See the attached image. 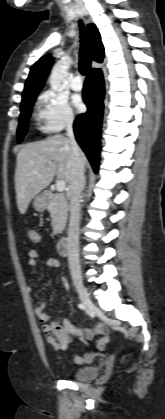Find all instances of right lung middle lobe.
<instances>
[{"label":"right lung middle lobe","instance_id":"right-lung-middle-lobe-1","mask_svg":"<svg viewBox=\"0 0 165 419\" xmlns=\"http://www.w3.org/2000/svg\"><path fill=\"white\" fill-rule=\"evenodd\" d=\"M36 96L37 95H33L30 98L22 101L21 103V114L19 119V126L17 129V139L19 143L22 141L23 137L25 136L28 130V120L31 114L33 104L36 100Z\"/></svg>","mask_w":165,"mask_h":419}]
</instances>
